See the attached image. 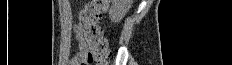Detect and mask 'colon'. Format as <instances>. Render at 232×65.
Here are the masks:
<instances>
[{"label": "colon", "mask_w": 232, "mask_h": 65, "mask_svg": "<svg viewBox=\"0 0 232 65\" xmlns=\"http://www.w3.org/2000/svg\"><path fill=\"white\" fill-rule=\"evenodd\" d=\"M109 0H91L80 12V23L85 32L88 63L106 65L109 58L108 42L100 22L107 11Z\"/></svg>", "instance_id": "colon-1"}]
</instances>
